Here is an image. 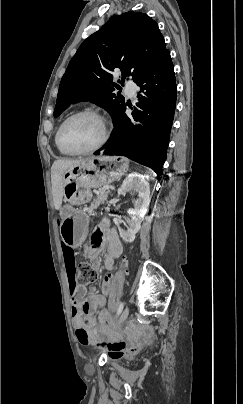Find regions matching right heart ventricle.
<instances>
[{
    "label": "right heart ventricle",
    "instance_id": "1",
    "mask_svg": "<svg viewBox=\"0 0 243 404\" xmlns=\"http://www.w3.org/2000/svg\"><path fill=\"white\" fill-rule=\"evenodd\" d=\"M58 128H59V127H58ZM58 128H57V130H56V132H55V134H54V143H55V146H56V148L58 149L59 153L62 154V155H64V156H76V155H78V153L73 152V151L67 149L66 147H64V146L60 143V141H59V135H58Z\"/></svg>",
    "mask_w": 243,
    "mask_h": 404
}]
</instances>
